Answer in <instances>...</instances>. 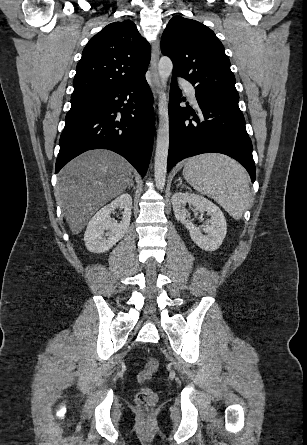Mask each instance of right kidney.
Instances as JSON below:
<instances>
[{
    "mask_svg": "<svg viewBox=\"0 0 307 445\" xmlns=\"http://www.w3.org/2000/svg\"><path fill=\"white\" fill-rule=\"evenodd\" d=\"M120 206L123 208V216L120 223H116L110 214ZM132 196L130 194H120L110 204L100 208L93 218L89 220L84 235L85 245L90 253H106L112 249L120 239H123L128 231L131 218ZM108 231V233H105Z\"/></svg>",
    "mask_w": 307,
    "mask_h": 445,
    "instance_id": "right-kidney-1",
    "label": "right kidney"
}]
</instances>
